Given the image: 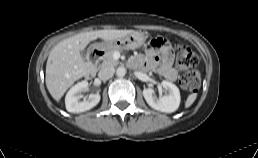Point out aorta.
<instances>
[{
    "instance_id": "obj_1",
    "label": "aorta",
    "mask_w": 258,
    "mask_h": 158,
    "mask_svg": "<svg viewBox=\"0 0 258 158\" xmlns=\"http://www.w3.org/2000/svg\"><path fill=\"white\" fill-rule=\"evenodd\" d=\"M116 74H117L118 77H123V76H125V74H126V68L123 67V66L118 67L117 70H116Z\"/></svg>"
}]
</instances>
